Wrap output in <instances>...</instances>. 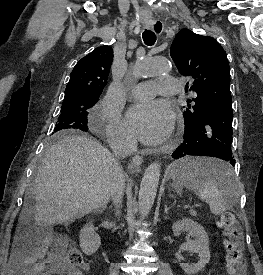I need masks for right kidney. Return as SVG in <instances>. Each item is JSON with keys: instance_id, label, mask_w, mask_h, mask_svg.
Returning a JSON list of instances; mask_svg holds the SVG:
<instances>
[{"instance_id": "1", "label": "right kidney", "mask_w": 263, "mask_h": 275, "mask_svg": "<svg viewBox=\"0 0 263 275\" xmlns=\"http://www.w3.org/2000/svg\"><path fill=\"white\" fill-rule=\"evenodd\" d=\"M79 240L80 247L86 255L95 253L101 245L100 236L95 232L91 222L81 229Z\"/></svg>"}]
</instances>
